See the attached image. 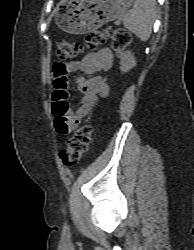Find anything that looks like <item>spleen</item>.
Here are the masks:
<instances>
[{"mask_svg": "<svg viewBox=\"0 0 194 250\" xmlns=\"http://www.w3.org/2000/svg\"><path fill=\"white\" fill-rule=\"evenodd\" d=\"M156 16V0H135L131 11L124 16V26L141 41H146L152 33Z\"/></svg>", "mask_w": 194, "mask_h": 250, "instance_id": "3e777b00", "label": "spleen"}]
</instances>
